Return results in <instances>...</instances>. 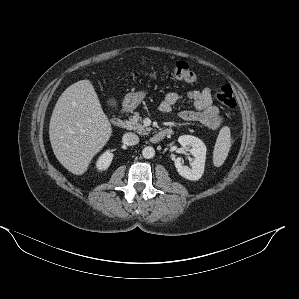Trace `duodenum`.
<instances>
[{
  "mask_svg": "<svg viewBox=\"0 0 299 299\" xmlns=\"http://www.w3.org/2000/svg\"><path fill=\"white\" fill-rule=\"evenodd\" d=\"M126 111V110H125ZM112 124L116 128H122L124 127L125 123L123 119L119 117H115L112 119ZM173 134V130L170 128H165L162 130L157 131L152 137L151 140L155 143L162 141L163 139L171 136Z\"/></svg>",
  "mask_w": 299,
  "mask_h": 299,
  "instance_id": "obj_1",
  "label": "duodenum"
}]
</instances>
